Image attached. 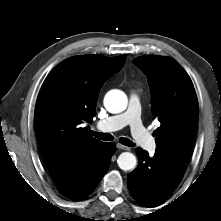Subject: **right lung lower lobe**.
I'll return each mask as SVG.
<instances>
[{"label": "right lung lower lobe", "instance_id": "right-lung-lower-lobe-1", "mask_svg": "<svg viewBox=\"0 0 221 221\" xmlns=\"http://www.w3.org/2000/svg\"><path fill=\"white\" fill-rule=\"evenodd\" d=\"M114 152L113 143H104L95 156L50 170L51 177L63 195L72 200L83 199L96 188L107 172Z\"/></svg>", "mask_w": 221, "mask_h": 221}]
</instances>
